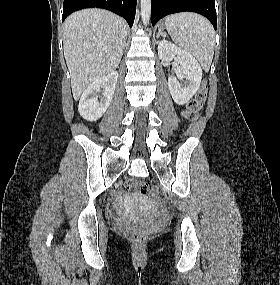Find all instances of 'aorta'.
I'll list each match as a JSON object with an SVG mask.
<instances>
[{
    "label": "aorta",
    "mask_w": 280,
    "mask_h": 285,
    "mask_svg": "<svg viewBox=\"0 0 280 285\" xmlns=\"http://www.w3.org/2000/svg\"><path fill=\"white\" fill-rule=\"evenodd\" d=\"M151 16V0H141V17L144 25L149 23Z\"/></svg>",
    "instance_id": "obj_1"
}]
</instances>
